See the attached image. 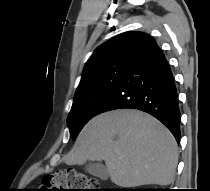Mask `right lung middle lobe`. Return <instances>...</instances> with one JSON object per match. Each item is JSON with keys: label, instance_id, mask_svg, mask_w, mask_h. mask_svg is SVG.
I'll list each match as a JSON object with an SVG mask.
<instances>
[{"label": "right lung middle lobe", "instance_id": "obj_1", "mask_svg": "<svg viewBox=\"0 0 210 191\" xmlns=\"http://www.w3.org/2000/svg\"><path fill=\"white\" fill-rule=\"evenodd\" d=\"M130 62L129 58H119L94 70L77 88L68 127L75 139L85 124L95 115L115 87Z\"/></svg>", "mask_w": 210, "mask_h": 191}]
</instances>
